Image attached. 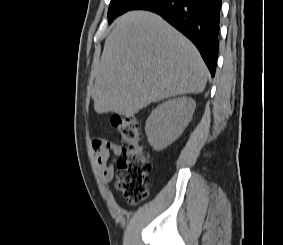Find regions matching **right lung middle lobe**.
<instances>
[{"instance_id":"1","label":"right lung middle lobe","mask_w":283,"mask_h":245,"mask_svg":"<svg viewBox=\"0 0 283 245\" xmlns=\"http://www.w3.org/2000/svg\"><path fill=\"white\" fill-rule=\"evenodd\" d=\"M142 0H111L108 10V22L111 23L115 17L131 10Z\"/></svg>"}]
</instances>
